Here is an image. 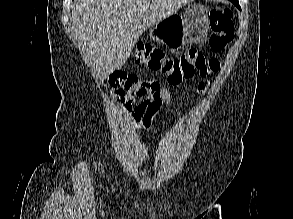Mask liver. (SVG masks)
<instances>
[{
	"mask_svg": "<svg viewBox=\"0 0 293 219\" xmlns=\"http://www.w3.org/2000/svg\"><path fill=\"white\" fill-rule=\"evenodd\" d=\"M194 0H75L72 29L79 49L104 79L121 68L142 33Z\"/></svg>",
	"mask_w": 293,
	"mask_h": 219,
	"instance_id": "1",
	"label": "liver"
}]
</instances>
